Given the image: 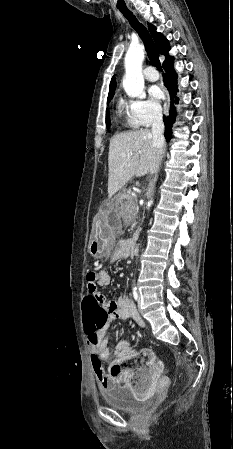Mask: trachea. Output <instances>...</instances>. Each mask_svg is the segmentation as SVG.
Here are the masks:
<instances>
[{"label":"trachea","mask_w":233,"mask_h":449,"mask_svg":"<svg viewBox=\"0 0 233 449\" xmlns=\"http://www.w3.org/2000/svg\"><path fill=\"white\" fill-rule=\"evenodd\" d=\"M130 25L136 30L142 39L149 60L153 66L162 71V66L158 57L157 49L147 29L136 19L132 12L126 6H117Z\"/></svg>","instance_id":"obj_1"}]
</instances>
